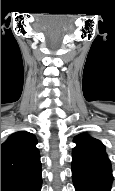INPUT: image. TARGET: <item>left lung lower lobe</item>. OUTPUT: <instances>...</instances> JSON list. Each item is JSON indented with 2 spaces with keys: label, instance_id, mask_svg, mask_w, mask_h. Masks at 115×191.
<instances>
[{
  "label": "left lung lower lobe",
  "instance_id": "1",
  "mask_svg": "<svg viewBox=\"0 0 115 191\" xmlns=\"http://www.w3.org/2000/svg\"><path fill=\"white\" fill-rule=\"evenodd\" d=\"M72 178L76 191H110L112 171L92 165L72 162Z\"/></svg>",
  "mask_w": 115,
  "mask_h": 191
}]
</instances>
